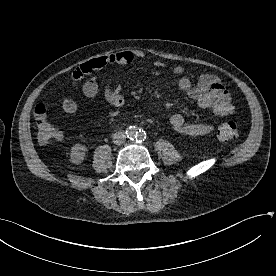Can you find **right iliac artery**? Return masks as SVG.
<instances>
[{"label":"right iliac artery","mask_w":276,"mask_h":276,"mask_svg":"<svg viewBox=\"0 0 276 276\" xmlns=\"http://www.w3.org/2000/svg\"><path fill=\"white\" fill-rule=\"evenodd\" d=\"M130 128H131V127H130ZM130 128H129V129H130ZM126 133H127V131H126ZM129 135H130V136H134V131L129 130ZM135 137H136V136H135Z\"/></svg>","instance_id":"1"}]
</instances>
